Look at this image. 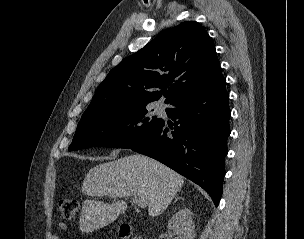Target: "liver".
<instances>
[{"instance_id": "6515ba94", "label": "liver", "mask_w": 304, "mask_h": 239, "mask_svg": "<svg viewBox=\"0 0 304 239\" xmlns=\"http://www.w3.org/2000/svg\"><path fill=\"white\" fill-rule=\"evenodd\" d=\"M184 184L183 177L160 162L140 154L99 164L84 178L82 193L87 196H128L145 198L150 216H158L171 203ZM124 200L105 204L86 199L83 202L80 229L90 233L112 223L124 213Z\"/></svg>"}]
</instances>
